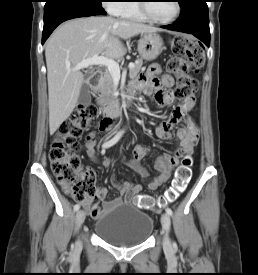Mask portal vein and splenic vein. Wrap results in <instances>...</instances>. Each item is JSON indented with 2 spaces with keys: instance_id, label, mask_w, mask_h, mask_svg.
Here are the masks:
<instances>
[{
  "instance_id": "obj_1",
  "label": "portal vein and splenic vein",
  "mask_w": 258,
  "mask_h": 275,
  "mask_svg": "<svg viewBox=\"0 0 258 275\" xmlns=\"http://www.w3.org/2000/svg\"><path fill=\"white\" fill-rule=\"evenodd\" d=\"M92 65H100L105 66L108 68L109 72L111 73L113 79H120V68L119 64L114 61L113 59H110L105 56H99L98 54L93 55L90 58L82 60L80 63H78L72 70H80L83 68H88ZM134 67L133 63H130L128 65V68L131 69ZM68 71H70V68H67Z\"/></svg>"
}]
</instances>
